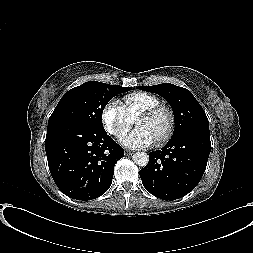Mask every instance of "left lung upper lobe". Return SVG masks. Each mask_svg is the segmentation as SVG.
I'll return each instance as SVG.
<instances>
[{"instance_id": "left-lung-upper-lobe-1", "label": "left lung upper lobe", "mask_w": 253, "mask_h": 253, "mask_svg": "<svg viewBox=\"0 0 253 253\" xmlns=\"http://www.w3.org/2000/svg\"><path fill=\"white\" fill-rule=\"evenodd\" d=\"M138 89L159 94L171 105L175 118L173 134L192 126L209 128L203 108L189 90L170 83L139 86Z\"/></svg>"}]
</instances>
